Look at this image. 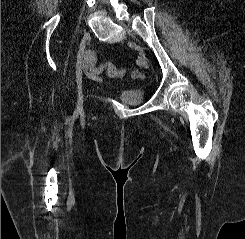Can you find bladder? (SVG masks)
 <instances>
[{"mask_svg":"<svg viewBox=\"0 0 245 239\" xmlns=\"http://www.w3.org/2000/svg\"><path fill=\"white\" fill-rule=\"evenodd\" d=\"M118 98L129 105L139 104L145 100L146 92L140 87L123 88L119 92Z\"/></svg>","mask_w":245,"mask_h":239,"instance_id":"bladder-1","label":"bladder"}]
</instances>
